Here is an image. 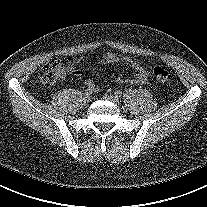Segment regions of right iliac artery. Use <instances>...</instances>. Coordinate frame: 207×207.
I'll return each instance as SVG.
<instances>
[{"label": "right iliac artery", "instance_id": "82829eb1", "mask_svg": "<svg viewBox=\"0 0 207 207\" xmlns=\"http://www.w3.org/2000/svg\"><path fill=\"white\" fill-rule=\"evenodd\" d=\"M92 93V89L91 88H86L85 89V94L90 95Z\"/></svg>", "mask_w": 207, "mask_h": 207}]
</instances>
